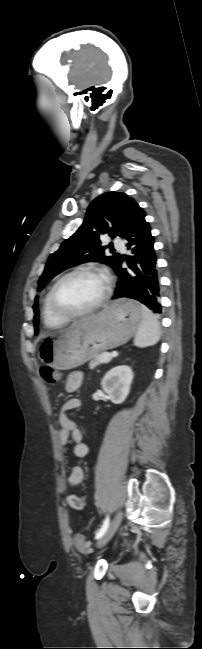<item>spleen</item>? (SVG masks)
I'll return each mask as SVG.
<instances>
[{
  "instance_id": "1",
  "label": "spleen",
  "mask_w": 202,
  "mask_h": 649,
  "mask_svg": "<svg viewBox=\"0 0 202 649\" xmlns=\"http://www.w3.org/2000/svg\"><path fill=\"white\" fill-rule=\"evenodd\" d=\"M142 322L136 333L134 345L138 347H147L154 345L160 338V326L150 309L141 305Z\"/></svg>"
}]
</instances>
